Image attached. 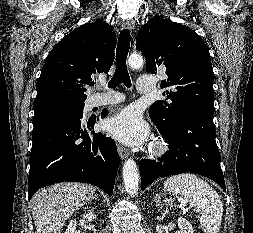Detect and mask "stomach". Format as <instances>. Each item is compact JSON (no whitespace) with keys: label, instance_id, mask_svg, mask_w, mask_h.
I'll list each match as a JSON object with an SVG mask.
<instances>
[{"label":"stomach","instance_id":"obj_1","mask_svg":"<svg viewBox=\"0 0 253 233\" xmlns=\"http://www.w3.org/2000/svg\"><path fill=\"white\" fill-rule=\"evenodd\" d=\"M163 204H165L166 206H172L173 205V200L172 199H165L163 201Z\"/></svg>","mask_w":253,"mask_h":233}]
</instances>
